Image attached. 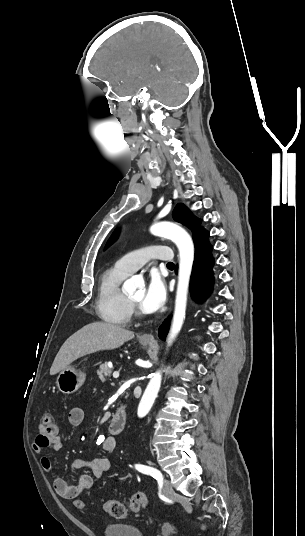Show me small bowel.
<instances>
[{"label": "small bowel", "mask_w": 305, "mask_h": 536, "mask_svg": "<svg viewBox=\"0 0 305 536\" xmlns=\"http://www.w3.org/2000/svg\"><path fill=\"white\" fill-rule=\"evenodd\" d=\"M85 411L81 407H73L68 413L69 423L73 426H79L84 422ZM101 449L105 452H112L116 448V440L110 436H102L96 439ZM63 447V440L60 436L59 427H38L37 433L32 445L33 451L41 453L46 448L60 450ZM40 464L44 471L52 469V462L48 456H41ZM73 470H89L90 475H81L75 485H69L63 478H56L53 487L58 496L66 499L67 495H76L91 488L94 479L101 478L111 468V462L108 458L98 456L92 459L76 458L70 463Z\"/></svg>", "instance_id": "obj_1"}]
</instances>
